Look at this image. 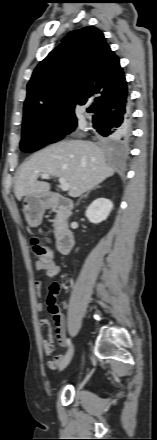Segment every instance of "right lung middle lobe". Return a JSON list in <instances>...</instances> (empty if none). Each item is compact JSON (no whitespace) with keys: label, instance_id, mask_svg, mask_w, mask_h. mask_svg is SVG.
<instances>
[{"label":"right lung middle lobe","instance_id":"right-lung-middle-lobe-1","mask_svg":"<svg viewBox=\"0 0 157 440\" xmlns=\"http://www.w3.org/2000/svg\"><path fill=\"white\" fill-rule=\"evenodd\" d=\"M76 122H31L22 127L20 149L24 152L36 151L49 143L64 138L72 132ZM106 142H115L112 137L104 138Z\"/></svg>","mask_w":157,"mask_h":440}]
</instances>
